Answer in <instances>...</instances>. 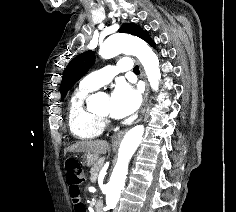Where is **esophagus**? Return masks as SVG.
I'll return each mask as SVG.
<instances>
[{
	"label": "esophagus",
	"instance_id": "34e87169",
	"mask_svg": "<svg viewBox=\"0 0 236 212\" xmlns=\"http://www.w3.org/2000/svg\"><path fill=\"white\" fill-rule=\"evenodd\" d=\"M140 70H141L142 78H143V80H144V82H145V93H144V100H143V106H142V109H141V113H140V116H139V118L137 119L136 123H138V122L142 119V117H143V115H144V113H145V111H146V108H147V105H148V94H149V85H148V82H147V80H146V77H145V74H144V71H143L142 66H140ZM125 133H126V130L120 131V132L116 133V134L112 137V142H113L114 144L119 143Z\"/></svg>",
	"mask_w": 236,
	"mask_h": 212
}]
</instances>
